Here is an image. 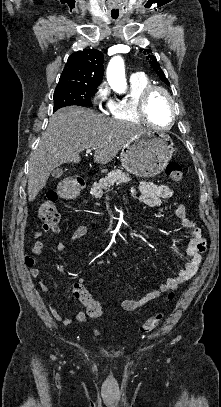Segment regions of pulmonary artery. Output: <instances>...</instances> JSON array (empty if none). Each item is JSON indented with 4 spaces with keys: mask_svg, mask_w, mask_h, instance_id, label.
<instances>
[{
    "mask_svg": "<svg viewBox=\"0 0 221 407\" xmlns=\"http://www.w3.org/2000/svg\"><path fill=\"white\" fill-rule=\"evenodd\" d=\"M142 75H143L142 72L137 71V72H134V73L132 74V78H133V77H140V76H142Z\"/></svg>",
    "mask_w": 221,
    "mask_h": 407,
    "instance_id": "1",
    "label": "pulmonary artery"
}]
</instances>
